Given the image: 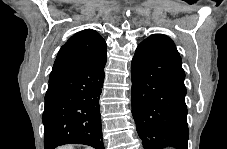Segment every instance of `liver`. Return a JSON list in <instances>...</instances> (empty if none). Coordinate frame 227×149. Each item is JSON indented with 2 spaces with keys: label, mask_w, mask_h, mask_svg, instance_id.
I'll list each match as a JSON object with an SVG mask.
<instances>
[{
  "label": "liver",
  "mask_w": 227,
  "mask_h": 149,
  "mask_svg": "<svg viewBox=\"0 0 227 149\" xmlns=\"http://www.w3.org/2000/svg\"><path fill=\"white\" fill-rule=\"evenodd\" d=\"M59 149H73L72 145L61 146Z\"/></svg>",
  "instance_id": "1"
}]
</instances>
